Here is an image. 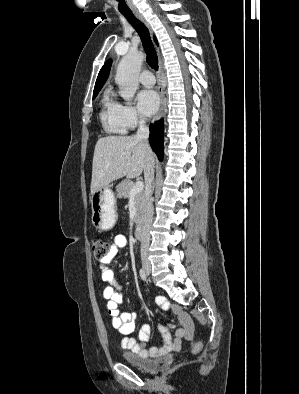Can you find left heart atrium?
<instances>
[{"label":"left heart atrium","mask_w":299,"mask_h":394,"mask_svg":"<svg viewBox=\"0 0 299 394\" xmlns=\"http://www.w3.org/2000/svg\"><path fill=\"white\" fill-rule=\"evenodd\" d=\"M138 110L145 116L153 115L159 107V97L152 89H143L137 94Z\"/></svg>","instance_id":"1"}]
</instances>
